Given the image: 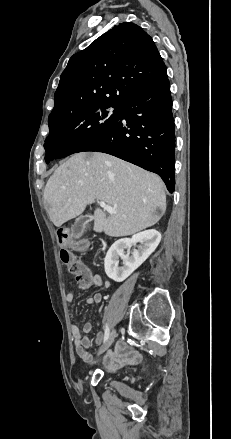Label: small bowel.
<instances>
[{
  "mask_svg": "<svg viewBox=\"0 0 231 439\" xmlns=\"http://www.w3.org/2000/svg\"><path fill=\"white\" fill-rule=\"evenodd\" d=\"M90 286L101 288L103 291H107L110 288V282L105 280L99 274H91ZM89 286V287H90ZM75 298V291H70L66 295V302L71 305ZM102 300L101 293H95L86 299L87 304L99 303ZM92 325L90 322H86L83 326V330H80L79 324L76 320H71L70 330L74 342V347L79 358L85 362L89 363L92 360V355L89 352L90 340L87 334L91 332ZM103 334L98 332L95 336V341L99 344L102 341ZM141 354L127 346L125 343L121 342L118 344L114 351H109L105 358L104 363L110 369H117L124 365L135 364L141 360Z\"/></svg>",
  "mask_w": 231,
  "mask_h": 439,
  "instance_id": "obj_1",
  "label": "small bowel"
}]
</instances>
